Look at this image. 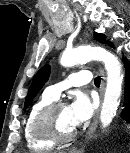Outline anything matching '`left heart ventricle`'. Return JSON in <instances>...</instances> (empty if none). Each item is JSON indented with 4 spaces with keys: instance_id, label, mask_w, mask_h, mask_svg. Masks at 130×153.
Returning a JSON list of instances; mask_svg holds the SVG:
<instances>
[{
    "instance_id": "obj_1",
    "label": "left heart ventricle",
    "mask_w": 130,
    "mask_h": 153,
    "mask_svg": "<svg viewBox=\"0 0 130 153\" xmlns=\"http://www.w3.org/2000/svg\"><path fill=\"white\" fill-rule=\"evenodd\" d=\"M56 121L58 128L62 132H69L75 128L71 121L69 106H64L59 109Z\"/></svg>"
}]
</instances>
